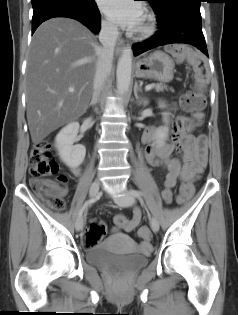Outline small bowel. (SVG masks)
Instances as JSON below:
<instances>
[{
    "mask_svg": "<svg viewBox=\"0 0 238 315\" xmlns=\"http://www.w3.org/2000/svg\"><path fill=\"white\" fill-rule=\"evenodd\" d=\"M194 124L190 119L180 118L174 125L175 137L172 143L157 144L156 133L146 132L143 140L148 142L145 150V157L148 163L154 167H162L167 171L162 190V197L166 202L173 199V189L178 181H181V189L190 187L193 190L195 178L202 172L207 162V140L204 135L194 136L189 132ZM179 151L185 156V163L181 167L177 158L173 157L174 151ZM75 174L80 173L79 168H74ZM180 189V190H181ZM66 189L60 193L66 194ZM142 219V212L138 207L133 209L132 217L127 221L124 230L131 231L136 228ZM105 230V229H104ZM140 250L143 252L151 250L150 240L141 241Z\"/></svg>",
    "mask_w": 238,
    "mask_h": 315,
    "instance_id": "obj_1",
    "label": "small bowel"
}]
</instances>
